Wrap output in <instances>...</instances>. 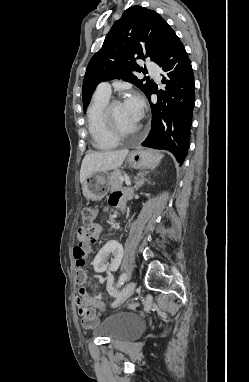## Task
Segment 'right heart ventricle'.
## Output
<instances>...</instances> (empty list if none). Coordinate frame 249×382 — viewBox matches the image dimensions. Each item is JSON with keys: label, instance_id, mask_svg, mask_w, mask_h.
Instances as JSON below:
<instances>
[{"label": "right heart ventricle", "instance_id": "1", "mask_svg": "<svg viewBox=\"0 0 249 382\" xmlns=\"http://www.w3.org/2000/svg\"><path fill=\"white\" fill-rule=\"evenodd\" d=\"M110 95L96 91L87 111L88 130L92 144L99 150H110L117 146V139L108 134L103 123V110Z\"/></svg>", "mask_w": 249, "mask_h": 382}]
</instances>
